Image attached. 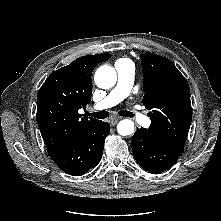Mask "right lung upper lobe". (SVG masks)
I'll return each instance as SVG.
<instances>
[{
	"mask_svg": "<svg viewBox=\"0 0 221 221\" xmlns=\"http://www.w3.org/2000/svg\"><path fill=\"white\" fill-rule=\"evenodd\" d=\"M110 54L82 56L53 72L37 96V123L48 154L78 137L99 120L83 117L78 110L91 101V74Z\"/></svg>",
	"mask_w": 221,
	"mask_h": 221,
	"instance_id": "obj_1",
	"label": "right lung upper lobe"
}]
</instances>
